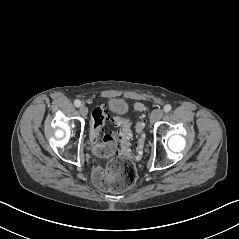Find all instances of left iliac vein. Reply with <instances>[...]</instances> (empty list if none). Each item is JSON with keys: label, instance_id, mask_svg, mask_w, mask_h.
<instances>
[{"label": "left iliac vein", "instance_id": "4c4485c4", "mask_svg": "<svg viewBox=\"0 0 239 239\" xmlns=\"http://www.w3.org/2000/svg\"><path fill=\"white\" fill-rule=\"evenodd\" d=\"M164 115L163 110L161 109H155L152 111L151 115H150V122H156L158 120H160Z\"/></svg>", "mask_w": 239, "mask_h": 239}]
</instances>
